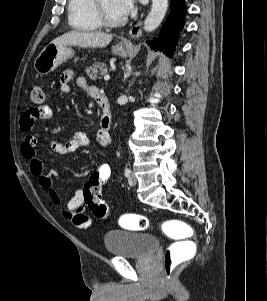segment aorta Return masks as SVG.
I'll return each mask as SVG.
<instances>
[{"instance_id": "762f6f07", "label": "aorta", "mask_w": 267, "mask_h": 301, "mask_svg": "<svg viewBox=\"0 0 267 301\" xmlns=\"http://www.w3.org/2000/svg\"><path fill=\"white\" fill-rule=\"evenodd\" d=\"M168 0H152L151 11L144 21V30L151 32L155 30L165 17Z\"/></svg>"}]
</instances>
